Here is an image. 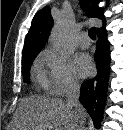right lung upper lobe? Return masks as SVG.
<instances>
[{
	"label": "right lung upper lobe",
	"instance_id": "1",
	"mask_svg": "<svg viewBox=\"0 0 123 130\" xmlns=\"http://www.w3.org/2000/svg\"><path fill=\"white\" fill-rule=\"evenodd\" d=\"M99 2L100 0H80L82 8L89 16L102 19L103 27L97 29V32L105 29L106 25L103 9L97 6ZM52 25L53 18L50 7H44L35 14L25 39L23 56L38 54L40 52L49 37Z\"/></svg>",
	"mask_w": 123,
	"mask_h": 130
}]
</instances>
